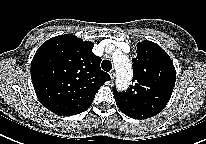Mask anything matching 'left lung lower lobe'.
<instances>
[{"label": "left lung lower lobe", "instance_id": "1", "mask_svg": "<svg viewBox=\"0 0 206 144\" xmlns=\"http://www.w3.org/2000/svg\"><path fill=\"white\" fill-rule=\"evenodd\" d=\"M115 101H116V104H117V106H118V108L124 113V114H126L125 113V109L119 104V102L117 101V99L115 98ZM157 115V114H156ZM152 116H155V115H151V117Z\"/></svg>", "mask_w": 206, "mask_h": 144}]
</instances>
